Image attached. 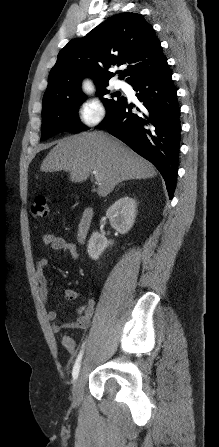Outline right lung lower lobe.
<instances>
[{
  "label": "right lung lower lobe",
  "instance_id": "obj_1",
  "mask_svg": "<svg viewBox=\"0 0 219 447\" xmlns=\"http://www.w3.org/2000/svg\"><path fill=\"white\" fill-rule=\"evenodd\" d=\"M132 86L142 102L138 113L132 112L135 105L125 98L106 114L97 128L107 129L153 163L163 176L172 199L178 172L181 122L177 90L168 64Z\"/></svg>",
  "mask_w": 219,
  "mask_h": 447
}]
</instances>
